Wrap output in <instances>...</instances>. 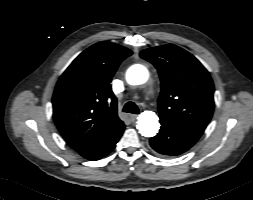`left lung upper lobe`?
I'll return each instance as SVG.
<instances>
[{
  "mask_svg": "<svg viewBox=\"0 0 253 200\" xmlns=\"http://www.w3.org/2000/svg\"><path fill=\"white\" fill-rule=\"evenodd\" d=\"M140 56L157 68L161 79L159 115L205 129L214 109V85L205 67L173 44L145 49Z\"/></svg>",
  "mask_w": 253,
  "mask_h": 200,
  "instance_id": "1",
  "label": "left lung upper lobe"
}]
</instances>
